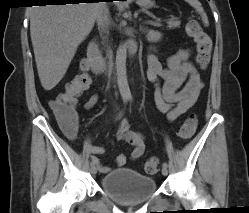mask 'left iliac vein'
Listing matches in <instances>:
<instances>
[{"instance_id": "left-iliac-vein-1", "label": "left iliac vein", "mask_w": 249, "mask_h": 213, "mask_svg": "<svg viewBox=\"0 0 249 213\" xmlns=\"http://www.w3.org/2000/svg\"><path fill=\"white\" fill-rule=\"evenodd\" d=\"M162 174H163L164 176L168 175V169H167V167H163V168H162Z\"/></svg>"}]
</instances>
